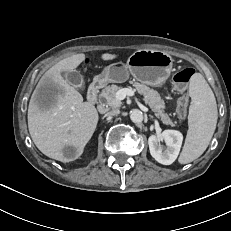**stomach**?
I'll list each match as a JSON object with an SVG mask.
<instances>
[{
	"instance_id": "obj_1",
	"label": "stomach",
	"mask_w": 231,
	"mask_h": 231,
	"mask_svg": "<svg viewBox=\"0 0 231 231\" xmlns=\"http://www.w3.org/2000/svg\"><path fill=\"white\" fill-rule=\"evenodd\" d=\"M173 58L160 50H138L127 60L126 64L114 63L107 66L100 77L111 83L126 81L131 74L143 84L158 87L170 76Z\"/></svg>"
}]
</instances>
